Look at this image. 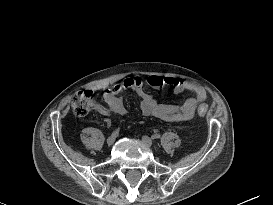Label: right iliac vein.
I'll list each match as a JSON object with an SVG mask.
<instances>
[{"instance_id": "1", "label": "right iliac vein", "mask_w": 273, "mask_h": 205, "mask_svg": "<svg viewBox=\"0 0 273 205\" xmlns=\"http://www.w3.org/2000/svg\"><path fill=\"white\" fill-rule=\"evenodd\" d=\"M115 140H116V137L113 136V135H111V136H109V137L107 138V144H108L109 146H111V145L114 144Z\"/></svg>"}]
</instances>
